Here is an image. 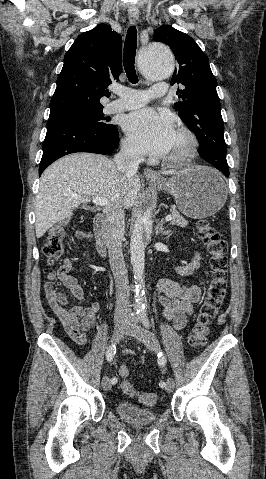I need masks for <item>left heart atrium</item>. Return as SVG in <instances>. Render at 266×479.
Returning <instances> with one entry per match:
<instances>
[{"instance_id": "left-heart-atrium-1", "label": "left heart atrium", "mask_w": 266, "mask_h": 479, "mask_svg": "<svg viewBox=\"0 0 266 479\" xmlns=\"http://www.w3.org/2000/svg\"><path fill=\"white\" fill-rule=\"evenodd\" d=\"M123 128L141 152L157 156L167 155L176 134L171 120L150 108H142L126 115Z\"/></svg>"}]
</instances>
